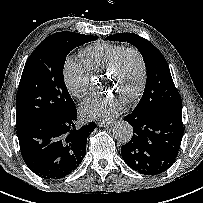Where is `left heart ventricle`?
<instances>
[{"label":"left heart ventricle","instance_id":"left-heart-ventricle-1","mask_svg":"<svg viewBox=\"0 0 203 203\" xmlns=\"http://www.w3.org/2000/svg\"><path fill=\"white\" fill-rule=\"evenodd\" d=\"M140 63L134 54H129L123 60L119 69L112 75H108L105 89L122 99L131 95L140 80Z\"/></svg>","mask_w":203,"mask_h":203}]
</instances>
